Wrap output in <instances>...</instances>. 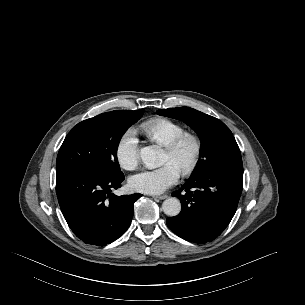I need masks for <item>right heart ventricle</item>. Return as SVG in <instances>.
Masks as SVG:
<instances>
[{
  "instance_id": "e07e8e85",
  "label": "right heart ventricle",
  "mask_w": 305,
  "mask_h": 305,
  "mask_svg": "<svg viewBox=\"0 0 305 305\" xmlns=\"http://www.w3.org/2000/svg\"><path fill=\"white\" fill-rule=\"evenodd\" d=\"M140 129L149 139L163 146L186 132L181 124L164 118L147 121Z\"/></svg>"
}]
</instances>
